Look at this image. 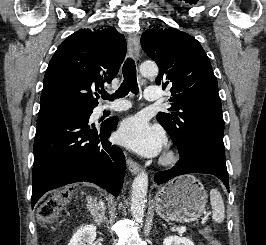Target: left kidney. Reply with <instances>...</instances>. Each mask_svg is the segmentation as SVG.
<instances>
[{"instance_id":"1","label":"left kidney","mask_w":266,"mask_h":245,"mask_svg":"<svg viewBox=\"0 0 266 245\" xmlns=\"http://www.w3.org/2000/svg\"><path fill=\"white\" fill-rule=\"evenodd\" d=\"M163 245H194V243L190 239H187V237H175V235H171V237L164 239Z\"/></svg>"}]
</instances>
